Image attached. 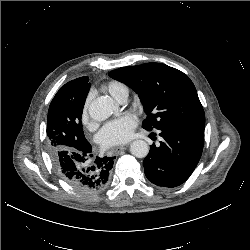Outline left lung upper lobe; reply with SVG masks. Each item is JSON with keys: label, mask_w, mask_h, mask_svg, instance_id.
<instances>
[{"label": "left lung upper lobe", "mask_w": 250, "mask_h": 250, "mask_svg": "<svg viewBox=\"0 0 250 250\" xmlns=\"http://www.w3.org/2000/svg\"><path fill=\"white\" fill-rule=\"evenodd\" d=\"M109 76L125 83L139 96L147 115V131L205 126V114L194 84L183 72L161 63L122 67Z\"/></svg>", "instance_id": "5c2ea615"}]
</instances>
